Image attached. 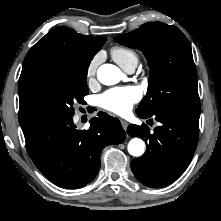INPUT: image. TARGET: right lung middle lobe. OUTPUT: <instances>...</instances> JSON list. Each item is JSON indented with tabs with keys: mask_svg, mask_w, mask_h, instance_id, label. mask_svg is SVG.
Returning a JSON list of instances; mask_svg holds the SVG:
<instances>
[{
	"mask_svg": "<svg viewBox=\"0 0 221 221\" xmlns=\"http://www.w3.org/2000/svg\"><path fill=\"white\" fill-rule=\"evenodd\" d=\"M92 56H80L36 82L20 97V124L54 115H73L75 102L88 94L86 77Z\"/></svg>",
	"mask_w": 221,
	"mask_h": 221,
	"instance_id": "dd1d6c3e",
	"label": "right lung middle lobe"
}]
</instances>
